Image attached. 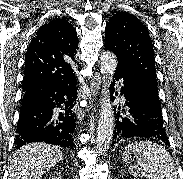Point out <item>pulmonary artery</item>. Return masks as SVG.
<instances>
[{"label": "pulmonary artery", "instance_id": "1", "mask_svg": "<svg viewBox=\"0 0 183 179\" xmlns=\"http://www.w3.org/2000/svg\"><path fill=\"white\" fill-rule=\"evenodd\" d=\"M125 99H124V97L122 96V101H124Z\"/></svg>", "mask_w": 183, "mask_h": 179}]
</instances>
